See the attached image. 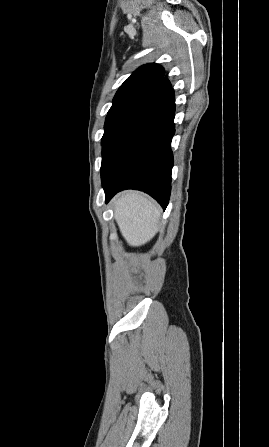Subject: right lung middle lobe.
Here are the masks:
<instances>
[{"mask_svg": "<svg viewBox=\"0 0 269 447\" xmlns=\"http://www.w3.org/2000/svg\"><path fill=\"white\" fill-rule=\"evenodd\" d=\"M130 112L128 111H120V112H114L109 113L106 117L105 121V132L102 137V147L104 149L105 142L108 139V137L111 135V133L114 131L116 126L120 123L122 119H124Z\"/></svg>", "mask_w": 269, "mask_h": 447, "instance_id": "1", "label": "right lung middle lobe"}]
</instances>
